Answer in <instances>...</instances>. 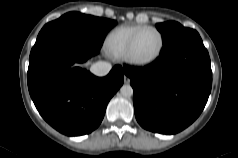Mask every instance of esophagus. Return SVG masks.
I'll list each match as a JSON object with an SVG mask.
<instances>
[{"instance_id":"obj_1","label":"esophagus","mask_w":238,"mask_h":158,"mask_svg":"<svg viewBox=\"0 0 238 158\" xmlns=\"http://www.w3.org/2000/svg\"><path fill=\"white\" fill-rule=\"evenodd\" d=\"M130 78L128 77V76H124V82L126 83V84H128V83H130Z\"/></svg>"}]
</instances>
